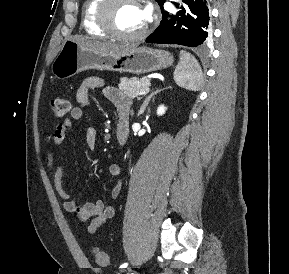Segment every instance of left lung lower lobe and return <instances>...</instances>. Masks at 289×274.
I'll return each mask as SVG.
<instances>
[{
  "instance_id": "1",
  "label": "left lung lower lobe",
  "mask_w": 289,
  "mask_h": 274,
  "mask_svg": "<svg viewBox=\"0 0 289 274\" xmlns=\"http://www.w3.org/2000/svg\"><path fill=\"white\" fill-rule=\"evenodd\" d=\"M160 4L162 21L146 42L203 46L211 38V23L207 0H183L186 7L177 15L164 11Z\"/></svg>"
}]
</instances>
